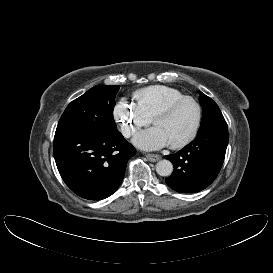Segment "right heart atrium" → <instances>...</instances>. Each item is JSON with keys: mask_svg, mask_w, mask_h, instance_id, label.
I'll return each instance as SVG.
<instances>
[{"mask_svg": "<svg viewBox=\"0 0 273 273\" xmlns=\"http://www.w3.org/2000/svg\"><path fill=\"white\" fill-rule=\"evenodd\" d=\"M113 118L126 138L134 135L141 127L147 126L150 119L138 108L135 103L121 100L113 109Z\"/></svg>", "mask_w": 273, "mask_h": 273, "instance_id": "d8ad5b80", "label": "right heart atrium"}]
</instances>
